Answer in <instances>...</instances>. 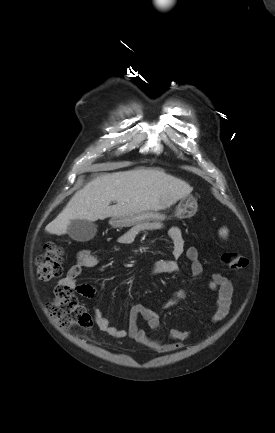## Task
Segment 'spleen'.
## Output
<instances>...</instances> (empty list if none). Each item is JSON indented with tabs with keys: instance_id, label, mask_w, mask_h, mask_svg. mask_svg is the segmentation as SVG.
<instances>
[{
	"instance_id": "obj_1",
	"label": "spleen",
	"mask_w": 275,
	"mask_h": 433,
	"mask_svg": "<svg viewBox=\"0 0 275 433\" xmlns=\"http://www.w3.org/2000/svg\"><path fill=\"white\" fill-rule=\"evenodd\" d=\"M219 234L222 237H226V235L228 234V230L226 228H222V229H220Z\"/></svg>"
}]
</instances>
